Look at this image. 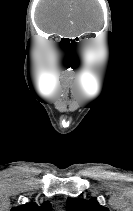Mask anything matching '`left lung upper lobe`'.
Segmentation results:
<instances>
[{"label":"left lung upper lobe","instance_id":"obj_1","mask_svg":"<svg viewBox=\"0 0 133 211\" xmlns=\"http://www.w3.org/2000/svg\"><path fill=\"white\" fill-rule=\"evenodd\" d=\"M69 211H109L108 208L99 205L95 198L90 200H81L70 198L67 200Z\"/></svg>","mask_w":133,"mask_h":211}]
</instances>
